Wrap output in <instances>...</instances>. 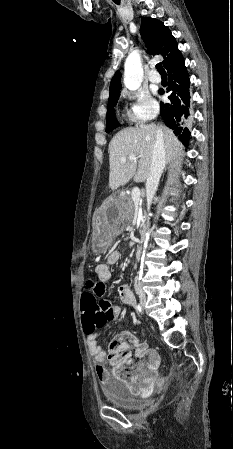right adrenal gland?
Masks as SVG:
<instances>
[{"instance_id":"obj_1","label":"right adrenal gland","mask_w":233,"mask_h":449,"mask_svg":"<svg viewBox=\"0 0 233 449\" xmlns=\"http://www.w3.org/2000/svg\"><path fill=\"white\" fill-rule=\"evenodd\" d=\"M175 163H176V164H178V163H179V161H175Z\"/></svg>"}]
</instances>
